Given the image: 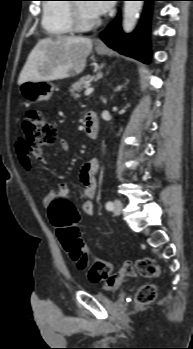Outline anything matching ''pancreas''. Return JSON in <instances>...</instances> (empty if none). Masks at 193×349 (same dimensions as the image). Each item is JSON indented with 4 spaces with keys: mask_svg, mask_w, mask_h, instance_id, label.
Returning <instances> with one entry per match:
<instances>
[{
    "mask_svg": "<svg viewBox=\"0 0 193 349\" xmlns=\"http://www.w3.org/2000/svg\"><path fill=\"white\" fill-rule=\"evenodd\" d=\"M91 76L87 75L82 77L79 81L72 84L71 88L69 89L71 95L74 98H78L80 95L78 92H80L84 87H86L90 82Z\"/></svg>",
    "mask_w": 193,
    "mask_h": 349,
    "instance_id": "1",
    "label": "pancreas"
}]
</instances>
